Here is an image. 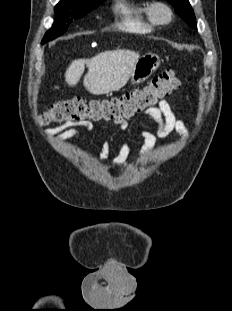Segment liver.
I'll use <instances>...</instances> for the list:
<instances>
[{
  "mask_svg": "<svg viewBox=\"0 0 232 311\" xmlns=\"http://www.w3.org/2000/svg\"><path fill=\"white\" fill-rule=\"evenodd\" d=\"M139 53L117 49L97 54L91 59H78L71 62L65 72V81L70 86L79 82L85 70L84 87L94 95H103L121 89L128 81Z\"/></svg>",
  "mask_w": 232,
  "mask_h": 311,
  "instance_id": "liver-1",
  "label": "liver"
}]
</instances>
